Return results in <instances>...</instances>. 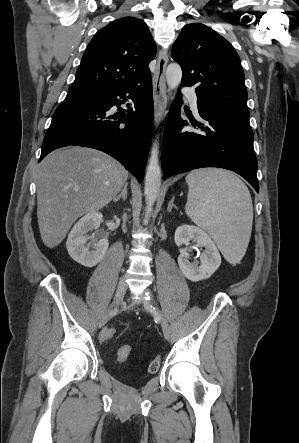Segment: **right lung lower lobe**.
Segmentation results:
<instances>
[{
  "mask_svg": "<svg viewBox=\"0 0 299 443\" xmlns=\"http://www.w3.org/2000/svg\"><path fill=\"white\" fill-rule=\"evenodd\" d=\"M128 110L119 108L127 98ZM153 127L151 77L126 86L106 88L94 94H67L52 117L39 161L51 151L70 145L101 150L142 182Z\"/></svg>",
  "mask_w": 299,
  "mask_h": 443,
  "instance_id": "1",
  "label": "right lung lower lobe"
}]
</instances>
